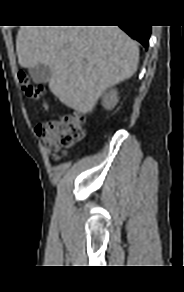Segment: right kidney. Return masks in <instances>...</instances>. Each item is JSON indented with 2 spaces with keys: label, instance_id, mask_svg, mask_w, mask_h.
Listing matches in <instances>:
<instances>
[{
  "label": "right kidney",
  "instance_id": "1",
  "mask_svg": "<svg viewBox=\"0 0 184 292\" xmlns=\"http://www.w3.org/2000/svg\"><path fill=\"white\" fill-rule=\"evenodd\" d=\"M118 102L117 98V91L116 90H111L109 93H106L103 97V106L111 109L114 107Z\"/></svg>",
  "mask_w": 184,
  "mask_h": 292
}]
</instances>
